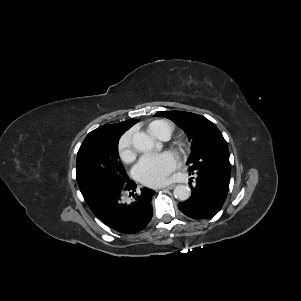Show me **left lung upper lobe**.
Masks as SVG:
<instances>
[{
	"label": "left lung upper lobe",
	"mask_w": 301,
	"mask_h": 301,
	"mask_svg": "<svg viewBox=\"0 0 301 301\" xmlns=\"http://www.w3.org/2000/svg\"><path fill=\"white\" fill-rule=\"evenodd\" d=\"M180 125L191 141V154L187 160L189 171L210 170L230 175L229 151L218 128L203 116L182 111L158 112Z\"/></svg>",
	"instance_id": "obj_1"
}]
</instances>
